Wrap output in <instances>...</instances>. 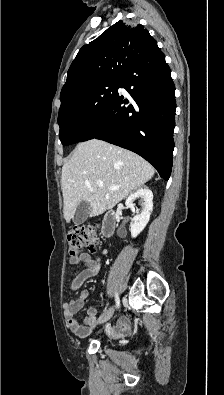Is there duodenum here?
<instances>
[{
	"label": "duodenum",
	"mask_w": 224,
	"mask_h": 395,
	"mask_svg": "<svg viewBox=\"0 0 224 395\" xmlns=\"http://www.w3.org/2000/svg\"><path fill=\"white\" fill-rule=\"evenodd\" d=\"M117 224V213L115 211H108L102 221V234L109 238L113 236Z\"/></svg>",
	"instance_id": "1"
}]
</instances>
